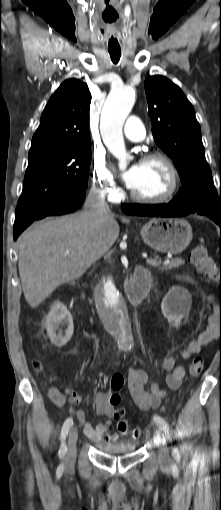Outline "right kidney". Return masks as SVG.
I'll return each instance as SVG.
<instances>
[{
    "label": "right kidney",
    "mask_w": 221,
    "mask_h": 510,
    "mask_svg": "<svg viewBox=\"0 0 221 510\" xmlns=\"http://www.w3.org/2000/svg\"><path fill=\"white\" fill-rule=\"evenodd\" d=\"M61 325H66L64 334L60 329ZM45 327L51 343L56 347H63L70 341L74 325L72 317L63 303L56 301L53 304L45 319Z\"/></svg>",
    "instance_id": "1"
}]
</instances>
